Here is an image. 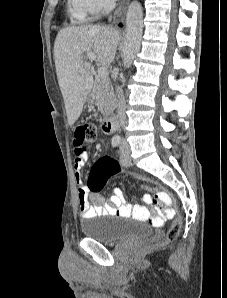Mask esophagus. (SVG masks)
<instances>
[{
    "mask_svg": "<svg viewBox=\"0 0 227 298\" xmlns=\"http://www.w3.org/2000/svg\"><path fill=\"white\" fill-rule=\"evenodd\" d=\"M120 20V13L116 14L114 17V21H119Z\"/></svg>",
    "mask_w": 227,
    "mask_h": 298,
    "instance_id": "obj_1",
    "label": "esophagus"
}]
</instances>
